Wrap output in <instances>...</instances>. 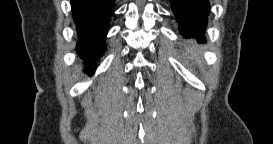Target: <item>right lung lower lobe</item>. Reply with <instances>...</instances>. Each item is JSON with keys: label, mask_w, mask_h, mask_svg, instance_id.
Segmentation results:
<instances>
[{"label": "right lung lower lobe", "mask_w": 273, "mask_h": 144, "mask_svg": "<svg viewBox=\"0 0 273 144\" xmlns=\"http://www.w3.org/2000/svg\"><path fill=\"white\" fill-rule=\"evenodd\" d=\"M115 0H71L72 13L79 41L77 53L89 65V75L95 71L93 61L105 51L104 39L114 11Z\"/></svg>", "instance_id": "1"}]
</instances>
